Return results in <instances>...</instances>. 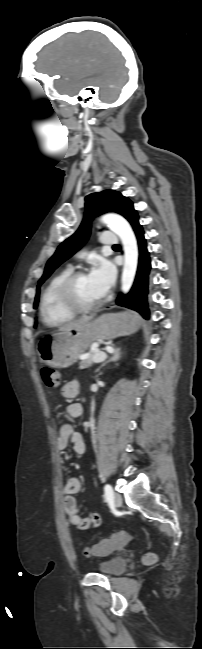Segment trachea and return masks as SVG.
<instances>
[{
  "mask_svg": "<svg viewBox=\"0 0 202 649\" xmlns=\"http://www.w3.org/2000/svg\"><path fill=\"white\" fill-rule=\"evenodd\" d=\"M113 247H119V245L116 244V245H114Z\"/></svg>",
  "mask_w": 202,
  "mask_h": 649,
  "instance_id": "trachea-1",
  "label": "trachea"
}]
</instances>
